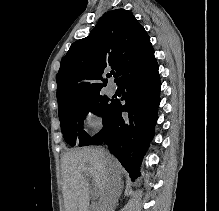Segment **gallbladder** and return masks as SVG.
Listing matches in <instances>:
<instances>
[{"instance_id":"gallbladder-1","label":"gallbladder","mask_w":219,"mask_h":211,"mask_svg":"<svg viewBox=\"0 0 219 211\" xmlns=\"http://www.w3.org/2000/svg\"><path fill=\"white\" fill-rule=\"evenodd\" d=\"M91 211H95L94 207H91Z\"/></svg>"}]
</instances>
